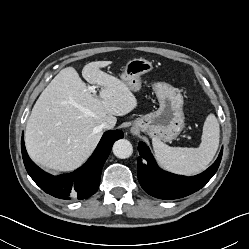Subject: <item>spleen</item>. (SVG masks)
I'll list each match as a JSON object with an SVG mask.
<instances>
[{"label": "spleen", "mask_w": 249, "mask_h": 249, "mask_svg": "<svg viewBox=\"0 0 249 249\" xmlns=\"http://www.w3.org/2000/svg\"><path fill=\"white\" fill-rule=\"evenodd\" d=\"M219 123L214 114L204 122L198 148L170 147L157 138L152 139L154 154L159 164L173 173L196 175L207 168L215 156L220 137Z\"/></svg>", "instance_id": "1"}]
</instances>
